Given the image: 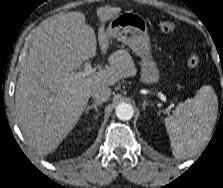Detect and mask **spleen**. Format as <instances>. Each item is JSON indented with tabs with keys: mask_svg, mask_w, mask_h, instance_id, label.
<instances>
[{
	"mask_svg": "<svg viewBox=\"0 0 223 188\" xmlns=\"http://www.w3.org/2000/svg\"><path fill=\"white\" fill-rule=\"evenodd\" d=\"M217 111V95L209 85L200 88L194 98L178 104L175 114L164 119L175 156H189L201 145L212 131Z\"/></svg>",
	"mask_w": 223,
	"mask_h": 188,
	"instance_id": "spleen-1",
	"label": "spleen"
}]
</instances>
